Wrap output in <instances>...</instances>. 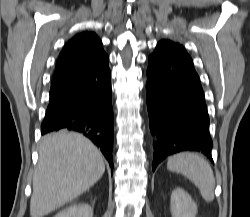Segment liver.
Wrapping results in <instances>:
<instances>
[{
	"mask_svg": "<svg viewBox=\"0 0 250 217\" xmlns=\"http://www.w3.org/2000/svg\"><path fill=\"white\" fill-rule=\"evenodd\" d=\"M104 171L102 154L84 136L64 131L44 136L33 176L31 217H43L77 198Z\"/></svg>",
	"mask_w": 250,
	"mask_h": 217,
	"instance_id": "1",
	"label": "liver"
}]
</instances>
